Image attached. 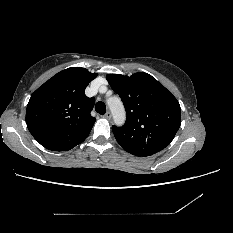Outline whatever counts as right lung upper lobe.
Returning <instances> with one entry per match:
<instances>
[{"label": "right lung upper lobe", "instance_id": "1", "mask_svg": "<svg viewBox=\"0 0 233 233\" xmlns=\"http://www.w3.org/2000/svg\"><path fill=\"white\" fill-rule=\"evenodd\" d=\"M97 77L81 67L65 69L31 96L26 109V124L32 136L52 151H67L89 135L95 118L90 115L95 99L85 88Z\"/></svg>", "mask_w": 233, "mask_h": 233}]
</instances>
